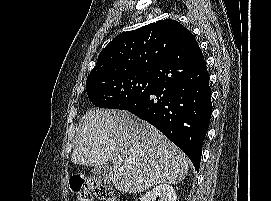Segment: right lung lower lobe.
I'll list each match as a JSON object with an SVG mask.
<instances>
[{
  "mask_svg": "<svg viewBox=\"0 0 271 201\" xmlns=\"http://www.w3.org/2000/svg\"><path fill=\"white\" fill-rule=\"evenodd\" d=\"M153 75L151 87L119 109L135 114L160 130L185 152L198 171L212 102L205 59L192 33Z\"/></svg>",
  "mask_w": 271,
  "mask_h": 201,
  "instance_id": "obj_1",
  "label": "right lung lower lobe"
}]
</instances>
